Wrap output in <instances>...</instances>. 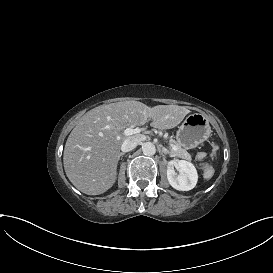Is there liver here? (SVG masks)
<instances>
[{
  "mask_svg": "<svg viewBox=\"0 0 273 273\" xmlns=\"http://www.w3.org/2000/svg\"><path fill=\"white\" fill-rule=\"evenodd\" d=\"M189 112L178 105L150 109L137 101L101 105L90 110L66 141L64 168L68 178L86 194L105 192L115 181L122 143L134 137L122 135L126 127L143 125L151 117L153 127L169 129L179 124Z\"/></svg>",
  "mask_w": 273,
  "mask_h": 273,
  "instance_id": "liver-1",
  "label": "liver"
}]
</instances>
